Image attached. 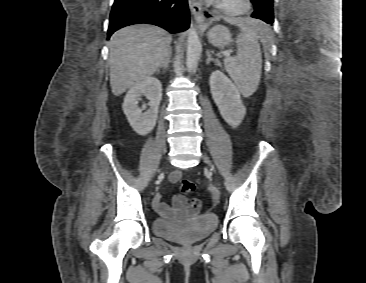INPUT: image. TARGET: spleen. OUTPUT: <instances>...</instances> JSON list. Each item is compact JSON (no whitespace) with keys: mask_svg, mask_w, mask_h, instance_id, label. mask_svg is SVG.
<instances>
[{"mask_svg":"<svg viewBox=\"0 0 366 283\" xmlns=\"http://www.w3.org/2000/svg\"><path fill=\"white\" fill-rule=\"evenodd\" d=\"M233 23L238 24L242 32L236 40L237 56L226 57L224 67L240 93L249 97L257 90L261 78L262 56L258 40H264L265 30L254 19H239Z\"/></svg>","mask_w":366,"mask_h":283,"instance_id":"spleen-1","label":"spleen"}]
</instances>
